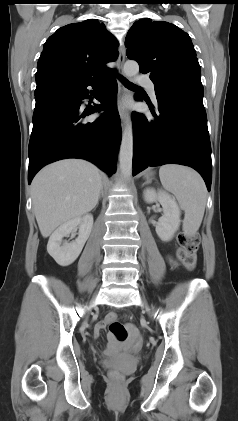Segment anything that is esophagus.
Instances as JSON below:
<instances>
[{
    "mask_svg": "<svg viewBox=\"0 0 238 421\" xmlns=\"http://www.w3.org/2000/svg\"><path fill=\"white\" fill-rule=\"evenodd\" d=\"M118 51H119V56H118V60H117V63H118V70L117 71H118V74L120 76H124L123 65H124V62H125L126 53H125V47H124L123 44H121L119 46ZM118 88H119V95L121 97L125 92V87L121 83L120 80H118ZM119 115H120V119H121L122 123L124 124L126 119H127L128 112L122 105H119Z\"/></svg>",
    "mask_w": 238,
    "mask_h": 421,
    "instance_id": "esophagus-1",
    "label": "esophagus"
}]
</instances>
